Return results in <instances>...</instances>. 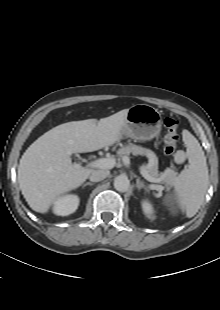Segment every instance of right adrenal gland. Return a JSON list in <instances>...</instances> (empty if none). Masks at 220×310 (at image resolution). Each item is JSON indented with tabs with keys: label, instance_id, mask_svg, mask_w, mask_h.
<instances>
[{
	"label": "right adrenal gland",
	"instance_id": "right-adrenal-gland-1",
	"mask_svg": "<svg viewBox=\"0 0 220 310\" xmlns=\"http://www.w3.org/2000/svg\"><path fill=\"white\" fill-rule=\"evenodd\" d=\"M87 185L92 186V185H94V183H91V182H86L85 184H83V186H82V187L84 188V187H86Z\"/></svg>",
	"mask_w": 220,
	"mask_h": 310
}]
</instances>
